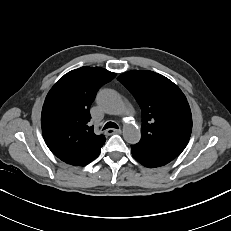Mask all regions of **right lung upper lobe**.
Here are the masks:
<instances>
[{
    "label": "right lung upper lobe",
    "instance_id": "cb5924a9",
    "mask_svg": "<svg viewBox=\"0 0 231 231\" xmlns=\"http://www.w3.org/2000/svg\"><path fill=\"white\" fill-rule=\"evenodd\" d=\"M116 76L101 67L84 66L60 78L46 96L41 126L51 152L67 164L85 166L106 141L89 127V108L98 89Z\"/></svg>",
    "mask_w": 231,
    "mask_h": 231
}]
</instances>
